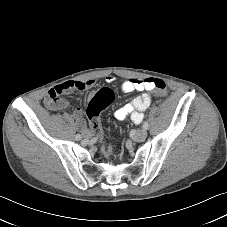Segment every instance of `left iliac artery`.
<instances>
[{"instance_id":"left-iliac-artery-1","label":"left iliac artery","mask_w":227,"mask_h":227,"mask_svg":"<svg viewBox=\"0 0 227 227\" xmlns=\"http://www.w3.org/2000/svg\"><path fill=\"white\" fill-rule=\"evenodd\" d=\"M148 127H149V124H148L147 122H145V123L143 124V129H148Z\"/></svg>"}]
</instances>
